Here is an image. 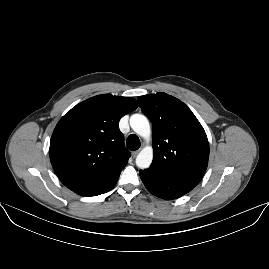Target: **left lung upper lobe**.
<instances>
[{
  "instance_id": "5c2ea615",
  "label": "left lung upper lobe",
  "mask_w": 269,
  "mask_h": 269,
  "mask_svg": "<svg viewBox=\"0 0 269 269\" xmlns=\"http://www.w3.org/2000/svg\"><path fill=\"white\" fill-rule=\"evenodd\" d=\"M137 100L152 122L154 157L146 171L199 183L208 165L209 144L197 118L182 101L163 92Z\"/></svg>"
}]
</instances>
